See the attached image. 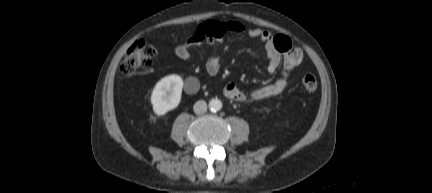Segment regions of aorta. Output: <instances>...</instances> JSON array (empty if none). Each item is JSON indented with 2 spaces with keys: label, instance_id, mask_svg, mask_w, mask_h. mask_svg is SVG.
<instances>
[{
  "label": "aorta",
  "instance_id": "obj_1",
  "mask_svg": "<svg viewBox=\"0 0 432 193\" xmlns=\"http://www.w3.org/2000/svg\"><path fill=\"white\" fill-rule=\"evenodd\" d=\"M209 108L211 111L216 112L222 108V102L219 99H211L209 101Z\"/></svg>",
  "mask_w": 432,
  "mask_h": 193
}]
</instances>
